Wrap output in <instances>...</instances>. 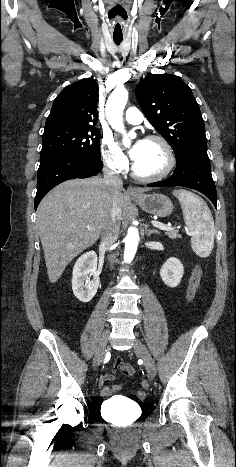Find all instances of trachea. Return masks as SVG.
Returning a JSON list of instances; mask_svg holds the SVG:
<instances>
[{
    "label": "trachea",
    "mask_w": 236,
    "mask_h": 467,
    "mask_svg": "<svg viewBox=\"0 0 236 467\" xmlns=\"http://www.w3.org/2000/svg\"><path fill=\"white\" fill-rule=\"evenodd\" d=\"M113 39H114V42H115L116 44H120V43L122 42V39H123V38H115V37H114Z\"/></svg>",
    "instance_id": "1"
}]
</instances>
